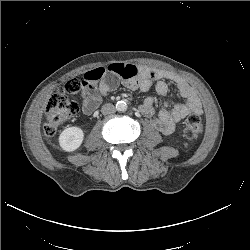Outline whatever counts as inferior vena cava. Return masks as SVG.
Returning <instances> with one entry per match:
<instances>
[{
    "label": "inferior vena cava",
    "mask_w": 250,
    "mask_h": 250,
    "mask_svg": "<svg viewBox=\"0 0 250 250\" xmlns=\"http://www.w3.org/2000/svg\"><path fill=\"white\" fill-rule=\"evenodd\" d=\"M115 106L113 104L107 103L102 107L103 114H110L115 112Z\"/></svg>",
    "instance_id": "obj_1"
}]
</instances>
